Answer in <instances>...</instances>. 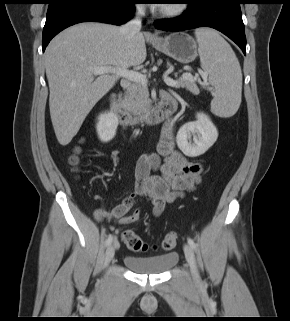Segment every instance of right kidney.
Segmentation results:
<instances>
[{
	"label": "right kidney",
	"instance_id": "1",
	"mask_svg": "<svg viewBox=\"0 0 290 321\" xmlns=\"http://www.w3.org/2000/svg\"><path fill=\"white\" fill-rule=\"evenodd\" d=\"M118 118L113 112H104L98 116L96 131L102 142H109L116 135Z\"/></svg>",
	"mask_w": 290,
	"mask_h": 321
}]
</instances>
